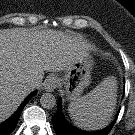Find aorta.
Here are the masks:
<instances>
[{"label":"aorta","mask_w":135,"mask_h":135,"mask_svg":"<svg viewBox=\"0 0 135 135\" xmlns=\"http://www.w3.org/2000/svg\"><path fill=\"white\" fill-rule=\"evenodd\" d=\"M40 104L43 108L51 109L56 105V98L51 93H44L40 98Z\"/></svg>","instance_id":"obj_1"}]
</instances>
